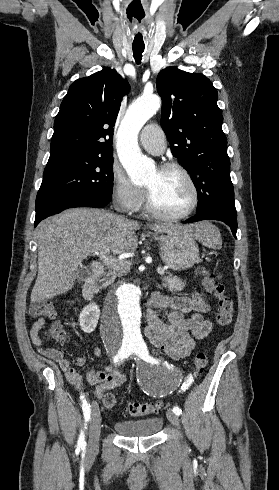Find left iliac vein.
Here are the masks:
<instances>
[{
  "instance_id": "4c4485c4",
  "label": "left iliac vein",
  "mask_w": 279,
  "mask_h": 490,
  "mask_svg": "<svg viewBox=\"0 0 279 490\" xmlns=\"http://www.w3.org/2000/svg\"><path fill=\"white\" fill-rule=\"evenodd\" d=\"M167 418L169 422L176 428H179L180 422L178 416L172 411V410H167Z\"/></svg>"
}]
</instances>
